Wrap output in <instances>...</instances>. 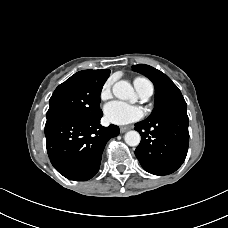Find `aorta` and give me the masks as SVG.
<instances>
[{
  "label": "aorta",
  "mask_w": 228,
  "mask_h": 228,
  "mask_svg": "<svg viewBox=\"0 0 228 228\" xmlns=\"http://www.w3.org/2000/svg\"><path fill=\"white\" fill-rule=\"evenodd\" d=\"M112 92L115 97L121 100H130L135 98L133 87L129 82L124 80L116 82L113 85ZM124 139L126 144L129 146H138L141 141L140 134L135 130L127 132Z\"/></svg>",
  "instance_id": "obj_1"
}]
</instances>
